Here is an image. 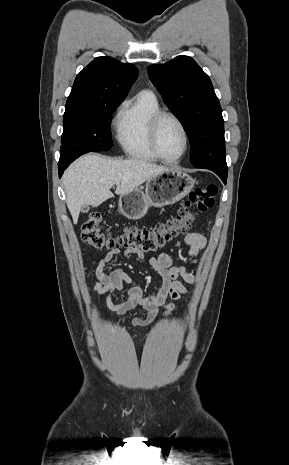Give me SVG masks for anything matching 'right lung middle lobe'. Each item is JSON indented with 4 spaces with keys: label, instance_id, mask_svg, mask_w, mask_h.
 I'll return each instance as SVG.
<instances>
[{
    "label": "right lung middle lobe",
    "instance_id": "1",
    "mask_svg": "<svg viewBox=\"0 0 289 465\" xmlns=\"http://www.w3.org/2000/svg\"><path fill=\"white\" fill-rule=\"evenodd\" d=\"M123 100H113L89 108L84 113L64 114L59 162L76 159L112 145L110 117Z\"/></svg>",
    "mask_w": 289,
    "mask_h": 465
}]
</instances>
